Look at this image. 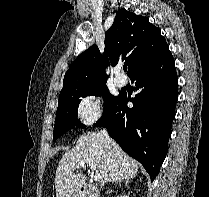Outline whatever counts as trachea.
I'll use <instances>...</instances> for the list:
<instances>
[{
	"label": "trachea",
	"instance_id": "1",
	"mask_svg": "<svg viewBox=\"0 0 209 197\" xmlns=\"http://www.w3.org/2000/svg\"><path fill=\"white\" fill-rule=\"evenodd\" d=\"M123 70L124 71H127V66H123Z\"/></svg>",
	"mask_w": 209,
	"mask_h": 197
}]
</instances>
